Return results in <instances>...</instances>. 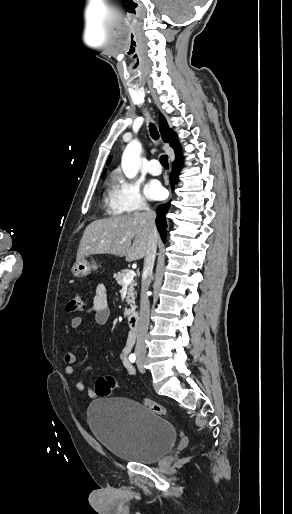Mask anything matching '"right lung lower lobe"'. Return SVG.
<instances>
[{
    "mask_svg": "<svg viewBox=\"0 0 292 514\" xmlns=\"http://www.w3.org/2000/svg\"><path fill=\"white\" fill-rule=\"evenodd\" d=\"M182 164H183L182 156L177 158L172 164V172L170 174V183H171L172 189H174V184H176L178 182V175H179L180 169L182 168ZM169 208H170V202H168L167 204L159 205V207L157 208V211H156V213H157L156 225H157L158 231L161 235L163 242H165V235H166V228H167L166 214H167Z\"/></svg>",
    "mask_w": 292,
    "mask_h": 514,
    "instance_id": "right-lung-lower-lobe-1",
    "label": "right lung lower lobe"
}]
</instances>
